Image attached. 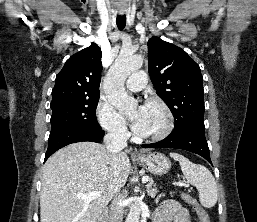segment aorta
<instances>
[{
	"label": "aorta",
	"instance_id": "1",
	"mask_svg": "<svg viewBox=\"0 0 257 222\" xmlns=\"http://www.w3.org/2000/svg\"><path fill=\"white\" fill-rule=\"evenodd\" d=\"M142 64L143 58L140 55L121 51L105 76L103 89L106 98L122 114H129L137 107V100L127 94L124 82L132 72L140 69ZM140 213V203L134 201L130 205L126 222H139Z\"/></svg>",
	"mask_w": 257,
	"mask_h": 222
}]
</instances>
